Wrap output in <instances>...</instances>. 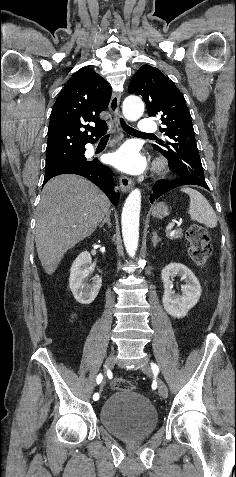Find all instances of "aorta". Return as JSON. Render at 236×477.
Masks as SVG:
<instances>
[{
  "mask_svg": "<svg viewBox=\"0 0 236 477\" xmlns=\"http://www.w3.org/2000/svg\"><path fill=\"white\" fill-rule=\"evenodd\" d=\"M122 111L127 120L136 121L144 113V103L138 96L130 95L125 98ZM140 208L141 192L136 188L126 198L121 216L123 241L130 257L135 256L138 248Z\"/></svg>",
  "mask_w": 236,
  "mask_h": 477,
  "instance_id": "obj_1",
  "label": "aorta"
}]
</instances>
